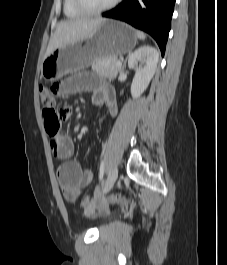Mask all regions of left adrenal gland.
<instances>
[{
    "mask_svg": "<svg viewBox=\"0 0 227 265\" xmlns=\"http://www.w3.org/2000/svg\"><path fill=\"white\" fill-rule=\"evenodd\" d=\"M125 67V61H124V63H123V67L122 68H124Z\"/></svg>",
    "mask_w": 227,
    "mask_h": 265,
    "instance_id": "1",
    "label": "left adrenal gland"
}]
</instances>
